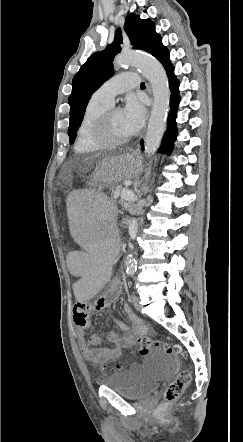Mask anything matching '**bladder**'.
I'll list each match as a JSON object with an SVG mask.
<instances>
[{
    "label": "bladder",
    "mask_w": 243,
    "mask_h": 442,
    "mask_svg": "<svg viewBox=\"0 0 243 442\" xmlns=\"http://www.w3.org/2000/svg\"><path fill=\"white\" fill-rule=\"evenodd\" d=\"M176 363L166 355L153 354L138 366L101 378L100 383L129 400L143 399L173 377Z\"/></svg>",
    "instance_id": "31cf9c89"
}]
</instances>
